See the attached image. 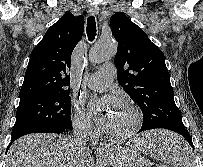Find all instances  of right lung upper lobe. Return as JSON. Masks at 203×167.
Returning <instances> with one entry per match:
<instances>
[{"label":"right lung upper lobe","mask_w":203,"mask_h":167,"mask_svg":"<svg viewBox=\"0 0 203 167\" xmlns=\"http://www.w3.org/2000/svg\"><path fill=\"white\" fill-rule=\"evenodd\" d=\"M84 17L64 14L32 50L20 90V101L48 93L69 91L70 60L81 40Z\"/></svg>","instance_id":"1"}]
</instances>
